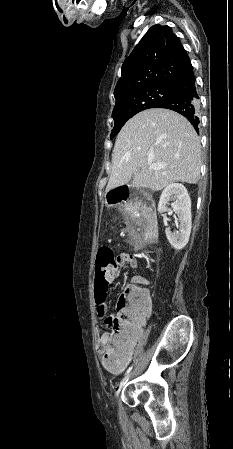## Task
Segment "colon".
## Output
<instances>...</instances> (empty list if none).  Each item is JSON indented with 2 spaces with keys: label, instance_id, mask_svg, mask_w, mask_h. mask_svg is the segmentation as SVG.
I'll return each instance as SVG.
<instances>
[{
  "label": "colon",
  "instance_id": "obj_1",
  "mask_svg": "<svg viewBox=\"0 0 233 449\" xmlns=\"http://www.w3.org/2000/svg\"><path fill=\"white\" fill-rule=\"evenodd\" d=\"M117 265V259L110 247H101L96 256L95 265V303L102 306L108 295L109 270ZM150 306V296L147 291L137 285L127 287L118 301V315L107 316L106 319L115 333H119L116 340L119 346H124L139 329L141 317ZM103 365L108 369L117 370L122 367L123 358L113 353V349L107 352L102 359Z\"/></svg>",
  "mask_w": 233,
  "mask_h": 449
}]
</instances>
